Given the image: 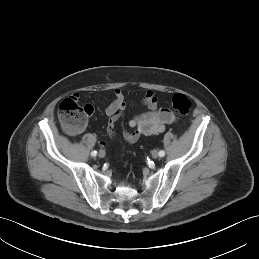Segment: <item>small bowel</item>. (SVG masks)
<instances>
[{
    "instance_id": "obj_1",
    "label": "small bowel",
    "mask_w": 259,
    "mask_h": 259,
    "mask_svg": "<svg viewBox=\"0 0 259 259\" xmlns=\"http://www.w3.org/2000/svg\"><path fill=\"white\" fill-rule=\"evenodd\" d=\"M142 105L147 111L133 117L129 121L130 130L124 131V139L129 143L137 142L142 136L156 135L164 131L167 124L177 121L176 116L166 108L158 107V97L155 92L148 91L142 99ZM127 106L123 92L116 88L113 91V99L107 106L105 113L109 117L108 134L111 138L116 137L114 121ZM88 116L94 112L91 104H87ZM101 145H106L105 141H100Z\"/></svg>"
}]
</instances>
